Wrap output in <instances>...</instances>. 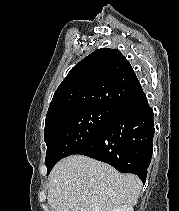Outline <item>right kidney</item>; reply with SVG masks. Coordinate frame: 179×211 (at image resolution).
<instances>
[{"instance_id":"ca27d5eb","label":"right kidney","mask_w":179,"mask_h":211,"mask_svg":"<svg viewBox=\"0 0 179 211\" xmlns=\"http://www.w3.org/2000/svg\"><path fill=\"white\" fill-rule=\"evenodd\" d=\"M113 211H134L133 207L130 205H122L120 207L115 208Z\"/></svg>"}]
</instances>
